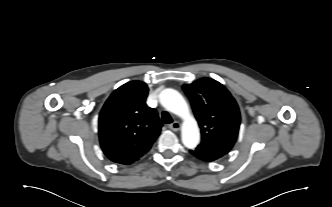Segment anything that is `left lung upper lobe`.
I'll list each match as a JSON object with an SVG mask.
<instances>
[{
  "mask_svg": "<svg viewBox=\"0 0 332 207\" xmlns=\"http://www.w3.org/2000/svg\"><path fill=\"white\" fill-rule=\"evenodd\" d=\"M201 129L197 148L225 155L233 147L240 126V111L230 92L211 78L183 85Z\"/></svg>",
  "mask_w": 332,
  "mask_h": 207,
  "instance_id": "5c2ea615",
  "label": "left lung upper lobe"
}]
</instances>
